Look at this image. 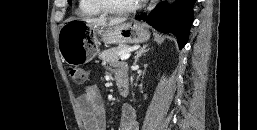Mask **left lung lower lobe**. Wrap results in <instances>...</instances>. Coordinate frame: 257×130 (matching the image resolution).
Masks as SVG:
<instances>
[{
	"label": "left lung lower lobe",
	"instance_id": "obj_1",
	"mask_svg": "<svg viewBox=\"0 0 257 130\" xmlns=\"http://www.w3.org/2000/svg\"><path fill=\"white\" fill-rule=\"evenodd\" d=\"M196 0H176L172 5L159 4L147 16L138 15L136 19L144 20L162 32H171L177 36L179 48L187 42L190 26L193 22V5Z\"/></svg>",
	"mask_w": 257,
	"mask_h": 130
}]
</instances>
